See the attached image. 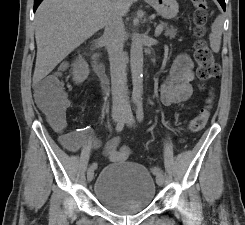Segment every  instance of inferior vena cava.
Returning a JSON list of instances; mask_svg holds the SVG:
<instances>
[{
	"label": "inferior vena cava",
	"mask_w": 245,
	"mask_h": 225,
	"mask_svg": "<svg viewBox=\"0 0 245 225\" xmlns=\"http://www.w3.org/2000/svg\"><path fill=\"white\" fill-rule=\"evenodd\" d=\"M117 1L112 0L105 23L103 40L109 54L113 110L128 106L126 86V59L123 52L124 23Z\"/></svg>",
	"instance_id": "inferior-vena-cava-1"
}]
</instances>
